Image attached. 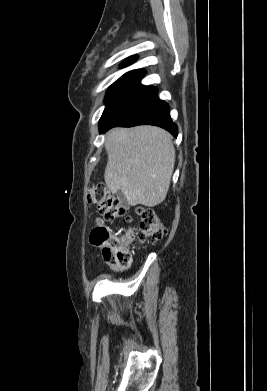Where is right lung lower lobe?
I'll return each mask as SVG.
<instances>
[{
	"mask_svg": "<svg viewBox=\"0 0 267 391\" xmlns=\"http://www.w3.org/2000/svg\"><path fill=\"white\" fill-rule=\"evenodd\" d=\"M145 124L164 128L177 137L178 127L171 120L169 105L157 97V89L153 86L144 87L135 94L100 125L99 129L102 133L115 126L132 127Z\"/></svg>",
	"mask_w": 267,
	"mask_h": 391,
	"instance_id": "98d812e1",
	"label": "right lung lower lobe"
}]
</instances>
